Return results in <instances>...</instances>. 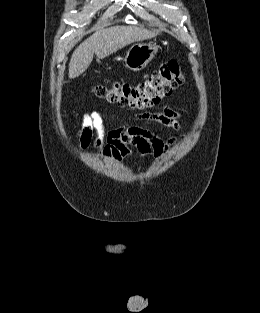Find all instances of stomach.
Listing matches in <instances>:
<instances>
[{
  "label": "stomach",
  "instance_id": "stomach-1",
  "mask_svg": "<svg viewBox=\"0 0 260 313\" xmlns=\"http://www.w3.org/2000/svg\"><path fill=\"white\" fill-rule=\"evenodd\" d=\"M159 49L156 43H136L126 52L123 61L131 71H141L155 57Z\"/></svg>",
  "mask_w": 260,
  "mask_h": 313
}]
</instances>
